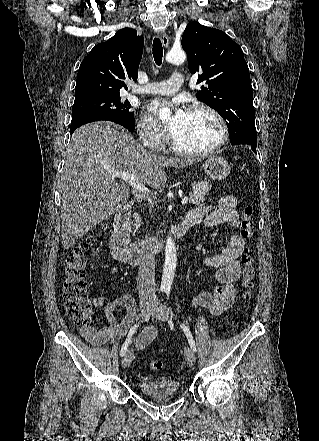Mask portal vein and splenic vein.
<instances>
[{"mask_svg": "<svg viewBox=\"0 0 319 441\" xmlns=\"http://www.w3.org/2000/svg\"><path fill=\"white\" fill-rule=\"evenodd\" d=\"M115 177L129 183L134 189L141 191L143 193H150V191L139 181L134 173L125 171H112ZM188 202V197H184L181 203L184 205Z\"/></svg>", "mask_w": 319, "mask_h": 441, "instance_id": "portal-vein-and-splenic-vein-1", "label": "portal vein and splenic vein"}]
</instances>
